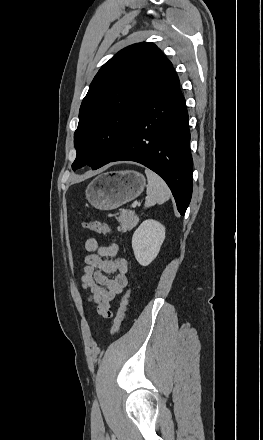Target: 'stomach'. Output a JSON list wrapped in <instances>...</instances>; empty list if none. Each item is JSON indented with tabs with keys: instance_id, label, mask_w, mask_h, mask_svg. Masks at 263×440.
I'll return each mask as SVG.
<instances>
[{
	"instance_id": "0dacf381",
	"label": "stomach",
	"mask_w": 263,
	"mask_h": 440,
	"mask_svg": "<svg viewBox=\"0 0 263 440\" xmlns=\"http://www.w3.org/2000/svg\"><path fill=\"white\" fill-rule=\"evenodd\" d=\"M145 186L146 179L139 172L114 171L93 179L85 194L93 207L112 210L138 197Z\"/></svg>"
}]
</instances>
